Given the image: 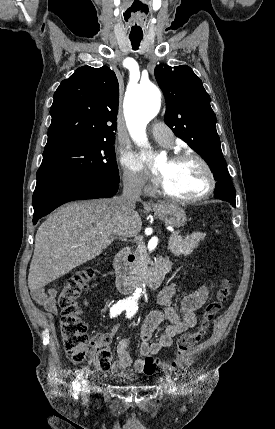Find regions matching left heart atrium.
<instances>
[{
	"instance_id": "1",
	"label": "left heart atrium",
	"mask_w": 275,
	"mask_h": 429,
	"mask_svg": "<svg viewBox=\"0 0 275 429\" xmlns=\"http://www.w3.org/2000/svg\"><path fill=\"white\" fill-rule=\"evenodd\" d=\"M130 164L138 170H143L145 168V157L143 155L140 156H134V157H130L129 159ZM157 182L161 183L162 182V178L160 176H158L156 178Z\"/></svg>"
}]
</instances>
